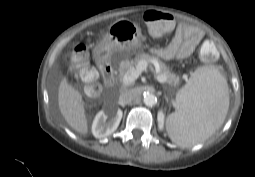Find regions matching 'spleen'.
<instances>
[{
  "label": "spleen",
  "instance_id": "spleen-1",
  "mask_svg": "<svg viewBox=\"0 0 255 177\" xmlns=\"http://www.w3.org/2000/svg\"><path fill=\"white\" fill-rule=\"evenodd\" d=\"M178 111L167 117L170 139L189 147L210 137L224 122L229 108L226 79L214 66L199 67L176 96Z\"/></svg>",
  "mask_w": 255,
  "mask_h": 177
}]
</instances>
